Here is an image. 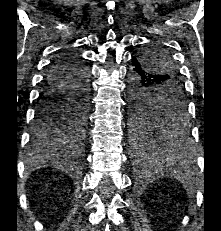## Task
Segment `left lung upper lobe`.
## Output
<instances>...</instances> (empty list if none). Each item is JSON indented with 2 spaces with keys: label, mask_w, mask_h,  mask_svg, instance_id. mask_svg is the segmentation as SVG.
Instances as JSON below:
<instances>
[{
  "label": "left lung upper lobe",
  "mask_w": 221,
  "mask_h": 231,
  "mask_svg": "<svg viewBox=\"0 0 221 231\" xmlns=\"http://www.w3.org/2000/svg\"><path fill=\"white\" fill-rule=\"evenodd\" d=\"M140 57L146 68L153 74L161 76L159 92L147 93L149 103L142 111L131 114L130 121L133 136L138 142L152 138L151 133L185 122L186 101L182 82L170 53L162 44H154Z\"/></svg>",
  "instance_id": "left-lung-upper-lobe-1"
}]
</instances>
